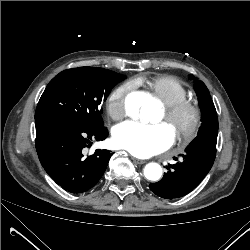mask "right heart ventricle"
Returning <instances> with one entry per match:
<instances>
[{
  "instance_id": "e07e8e85",
  "label": "right heart ventricle",
  "mask_w": 250,
  "mask_h": 250,
  "mask_svg": "<svg viewBox=\"0 0 250 250\" xmlns=\"http://www.w3.org/2000/svg\"><path fill=\"white\" fill-rule=\"evenodd\" d=\"M136 84H146L151 95L164 105L173 104L188 95L186 86L178 78L170 75L140 78L136 80Z\"/></svg>"
}]
</instances>
